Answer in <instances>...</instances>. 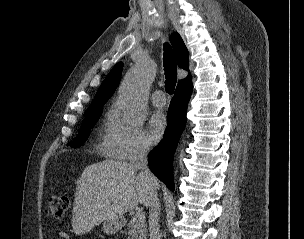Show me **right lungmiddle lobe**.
<instances>
[{
  "mask_svg": "<svg viewBox=\"0 0 304 239\" xmlns=\"http://www.w3.org/2000/svg\"><path fill=\"white\" fill-rule=\"evenodd\" d=\"M102 110V106L87 109V111L84 113L85 119L82 122L77 137L74 139L73 142L69 143L71 147L77 148L84 144V142L89 136L90 129L93 128V126L97 122L100 114L102 113Z\"/></svg>",
  "mask_w": 304,
  "mask_h": 239,
  "instance_id": "obj_1",
  "label": "right lung middle lobe"
}]
</instances>
